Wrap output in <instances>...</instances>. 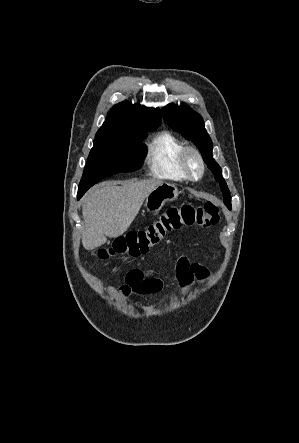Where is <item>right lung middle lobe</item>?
Listing matches in <instances>:
<instances>
[{
  "instance_id": "obj_1",
  "label": "right lung middle lobe",
  "mask_w": 299,
  "mask_h": 443,
  "mask_svg": "<svg viewBox=\"0 0 299 443\" xmlns=\"http://www.w3.org/2000/svg\"><path fill=\"white\" fill-rule=\"evenodd\" d=\"M159 125H149L137 131H127L95 137L94 146L79 185L78 195H83L103 178L120 172L139 169L146 154L144 144H139L147 132Z\"/></svg>"
}]
</instances>
